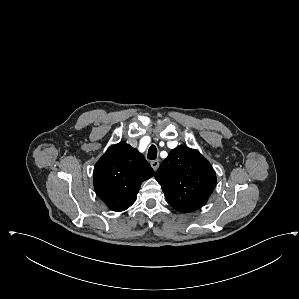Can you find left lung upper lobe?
<instances>
[{"label":"left lung upper lobe","mask_w":299,"mask_h":299,"mask_svg":"<svg viewBox=\"0 0 299 299\" xmlns=\"http://www.w3.org/2000/svg\"><path fill=\"white\" fill-rule=\"evenodd\" d=\"M169 204L180 212L204 205L216 185L211 164L197 151L181 145L173 149L155 174Z\"/></svg>","instance_id":"1"}]
</instances>
